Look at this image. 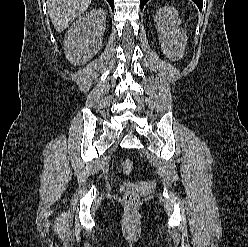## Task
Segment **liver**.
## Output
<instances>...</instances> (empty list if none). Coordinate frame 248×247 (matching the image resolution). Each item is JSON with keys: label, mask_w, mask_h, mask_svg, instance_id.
I'll return each instance as SVG.
<instances>
[{"label": "liver", "mask_w": 248, "mask_h": 247, "mask_svg": "<svg viewBox=\"0 0 248 247\" xmlns=\"http://www.w3.org/2000/svg\"><path fill=\"white\" fill-rule=\"evenodd\" d=\"M92 0H47L50 19L57 32H63L70 23L83 14Z\"/></svg>", "instance_id": "6515ba94"}]
</instances>
